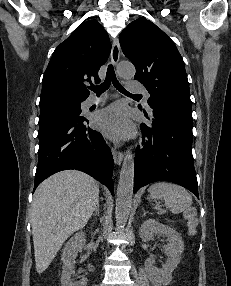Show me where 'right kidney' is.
Here are the masks:
<instances>
[{
    "label": "right kidney",
    "instance_id": "1",
    "mask_svg": "<svg viewBox=\"0 0 231 286\" xmlns=\"http://www.w3.org/2000/svg\"><path fill=\"white\" fill-rule=\"evenodd\" d=\"M85 233L79 232L76 233L71 239L66 243L63 253H62V276H61V286H86L87 279L82 278L80 281L73 282L72 275L74 272L75 266V259L77 253L82 251L83 247L85 246Z\"/></svg>",
    "mask_w": 231,
    "mask_h": 286
}]
</instances>
